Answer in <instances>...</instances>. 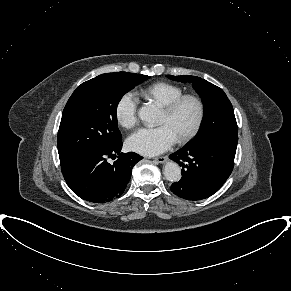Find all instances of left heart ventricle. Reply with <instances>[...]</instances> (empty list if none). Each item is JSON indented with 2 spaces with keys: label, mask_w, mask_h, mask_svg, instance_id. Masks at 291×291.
<instances>
[{
  "label": "left heart ventricle",
  "mask_w": 291,
  "mask_h": 291,
  "mask_svg": "<svg viewBox=\"0 0 291 291\" xmlns=\"http://www.w3.org/2000/svg\"><path fill=\"white\" fill-rule=\"evenodd\" d=\"M196 116L197 107L195 103L192 101H186L172 115H167L162 111L158 124L167 125L175 135L176 139H178L192 128Z\"/></svg>",
  "instance_id": "left-heart-ventricle-1"
}]
</instances>
